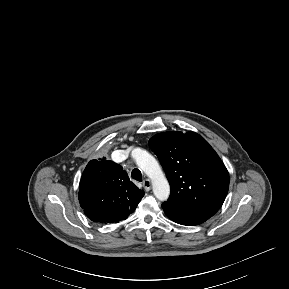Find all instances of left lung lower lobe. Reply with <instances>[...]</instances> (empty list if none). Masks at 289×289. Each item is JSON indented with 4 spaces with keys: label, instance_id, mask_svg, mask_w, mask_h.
I'll return each instance as SVG.
<instances>
[{
    "label": "left lung lower lobe",
    "instance_id": "0a47b994",
    "mask_svg": "<svg viewBox=\"0 0 289 289\" xmlns=\"http://www.w3.org/2000/svg\"><path fill=\"white\" fill-rule=\"evenodd\" d=\"M162 207L166 215L171 220L181 225L186 226L199 225L211 217L205 213L192 210L186 207L175 206L167 202H164L162 204Z\"/></svg>",
    "mask_w": 289,
    "mask_h": 289
}]
</instances>
